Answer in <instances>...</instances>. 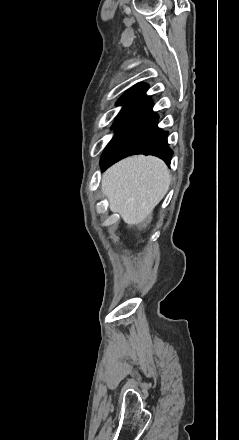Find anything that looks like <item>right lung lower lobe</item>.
Masks as SVG:
<instances>
[{
  "label": "right lung lower lobe",
  "mask_w": 239,
  "mask_h": 440,
  "mask_svg": "<svg viewBox=\"0 0 239 440\" xmlns=\"http://www.w3.org/2000/svg\"><path fill=\"white\" fill-rule=\"evenodd\" d=\"M152 106L146 95L130 102L114 127V138L102 154V170L133 154L158 156L170 164L173 151L168 147V133L157 127L158 115Z\"/></svg>",
  "instance_id": "right-lung-lower-lobe-1"
}]
</instances>
